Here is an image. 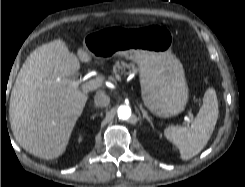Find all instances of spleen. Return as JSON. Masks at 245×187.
<instances>
[{"label": "spleen", "instance_id": "1", "mask_svg": "<svg viewBox=\"0 0 245 187\" xmlns=\"http://www.w3.org/2000/svg\"><path fill=\"white\" fill-rule=\"evenodd\" d=\"M218 100L213 88L206 90L203 105L190 127L169 126L165 137L176 145L183 160L196 156L209 141L218 119Z\"/></svg>", "mask_w": 245, "mask_h": 187}]
</instances>
